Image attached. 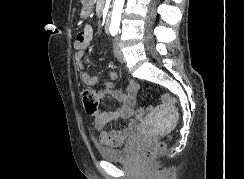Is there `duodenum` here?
<instances>
[{
  "label": "duodenum",
  "instance_id": "duodenum-1",
  "mask_svg": "<svg viewBox=\"0 0 244 179\" xmlns=\"http://www.w3.org/2000/svg\"><path fill=\"white\" fill-rule=\"evenodd\" d=\"M110 27V12L106 13L104 16V30L107 31Z\"/></svg>",
  "mask_w": 244,
  "mask_h": 179
}]
</instances>
